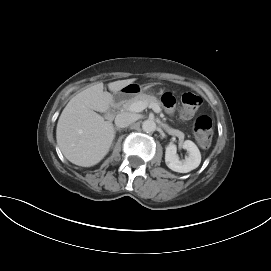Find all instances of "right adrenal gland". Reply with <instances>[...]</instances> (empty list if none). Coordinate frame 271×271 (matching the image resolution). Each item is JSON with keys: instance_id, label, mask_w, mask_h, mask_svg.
I'll use <instances>...</instances> for the list:
<instances>
[{"instance_id": "2a0ac1e0", "label": "right adrenal gland", "mask_w": 271, "mask_h": 271, "mask_svg": "<svg viewBox=\"0 0 271 271\" xmlns=\"http://www.w3.org/2000/svg\"><path fill=\"white\" fill-rule=\"evenodd\" d=\"M116 131H120V129H119V128H115V131H114V133H116Z\"/></svg>"}]
</instances>
